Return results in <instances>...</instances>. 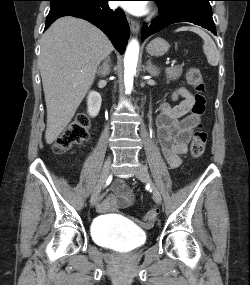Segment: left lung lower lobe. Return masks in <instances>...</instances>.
Masks as SVG:
<instances>
[{
	"label": "left lung lower lobe",
	"mask_w": 250,
	"mask_h": 285,
	"mask_svg": "<svg viewBox=\"0 0 250 285\" xmlns=\"http://www.w3.org/2000/svg\"><path fill=\"white\" fill-rule=\"evenodd\" d=\"M180 22H190L195 25H199L216 35V28L212 18V10L189 6L172 13H165L160 8V16L153 20L149 26L144 25L142 27L141 39L144 41L150 35L161 31L167 26Z\"/></svg>",
	"instance_id": "1"
}]
</instances>
